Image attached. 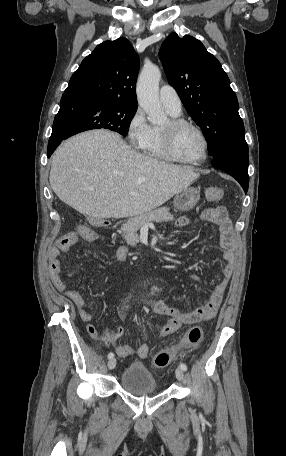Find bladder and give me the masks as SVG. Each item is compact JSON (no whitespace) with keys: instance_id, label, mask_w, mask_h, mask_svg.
I'll use <instances>...</instances> for the list:
<instances>
[{"instance_id":"obj_1","label":"bladder","mask_w":286,"mask_h":456,"mask_svg":"<svg viewBox=\"0 0 286 456\" xmlns=\"http://www.w3.org/2000/svg\"><path fill=\"white\" fill-rule=\"evenodd\" d=\"M120 385L124 390L136 395L158 392L154 376L143 364L138 362L132 363L123 371Z\"/></svg>"}]
</instances>
